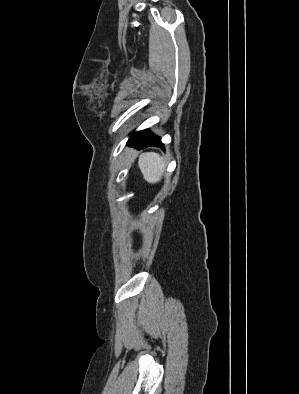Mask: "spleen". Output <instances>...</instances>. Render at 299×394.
<instances>
[{
    "instance_id": "spleen-1",
    "label": "spleen",
    "mask_w": 299,
    "mask_h": 394,
    "mask_svg": "<svg viewBox=\"0 0 299 394\" xmlns=\"http://www.w3.org/2000/svg\"><path fill=\"white\" fill-rule=\"evenodd\" d=\"M138 165L144 179L148 183L154 184L161 180L167 162L158 153H143L139 157Z\"/></svg>"
}]
</instances>
